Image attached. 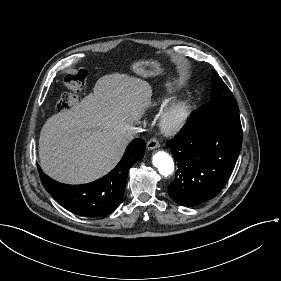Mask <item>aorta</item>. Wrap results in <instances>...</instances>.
<instances>
[{
    "instance_id": "1",
    "label": "aorta",
    "mask_w": 281,
    "mask_h": 281,
    "mask_svg": "<svg viewBox=\"0 0 281 281\" xmlns=\"http://www.w3.org/2000/svg\"><path fill=\"white\" fill-rule=\"evenodd\" d=\"M153 165L164 177L169 176L174 171L173 159L168 153L164 151H158L153 155Z\"/></svg>"
}]
</instances>
